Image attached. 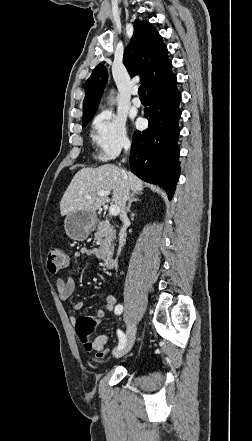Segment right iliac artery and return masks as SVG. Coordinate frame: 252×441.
I'll list each match as a JSON object with an SVG mask.
<instances>
[{
	"label": "right iliac artery",
	"instance_id": "1",
	"mask_svg": "<svg viewBox=\"0 0 252 441\" xmlns=\"http://www.w3.org/2000/svg\"><path fill=\"white\" fill-rule=\"evenodd\" d=\"M122 311H123V306L118 304L115 308V314L120 315L122 313ZM117 335L119 338V345L117 347V350H120L121 348L124 347L125 342H126V338H125V334L120 329L117 330Z\"/></svg>",
	"mask_w": 252,
	"mask_h": 441
}]
</instances>
